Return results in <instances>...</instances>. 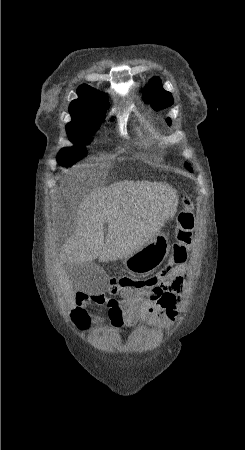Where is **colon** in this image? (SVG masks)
I'll use <instances>...</instances> for the list:
<instances>
[{
  "mask_svg": "<svg viewBox=\"0 0 245 450\" xmlns=\"http://www.w3.org/2000/svg\"><path fill=\"white\" fill-rule=\"evenodd\" d=\"M182 208L177 216V225L175 230L176 241L173 244L172 252L168 261L167 268H173L184 264L187 261L188 254L193 244V234L195 230L194 205L190 197L185 196L181 202ZM147 278L133 276H118L112 286L117 289L128 291H137L143 288ZM88 295L78 293L76 300L88 299ZM91 321L90 314L82 307H77L76 312L72 316V323L78 331L88 329Z\"/></svg>",
  "mask_w": 245,
  "mask_h": 450,
  "instance_id": "1",
  "label": "colon"
}]
</instances>
